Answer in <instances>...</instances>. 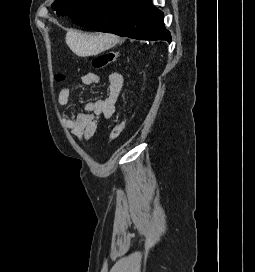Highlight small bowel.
<instances>
[{"label": "small bowel", "instance_id": "c3829d8e", "mask_svg": "<svg viewBox=\"0 0 255 272\" xmlns=\"http://www.w3.org/2000/svg\"><path fill=\"white\" fill-rule=\"evenodd\" d=\"M99 77L95 73H86L81 77V85L97 84ZM124 86V78L120 72H111L108 75V89L105 98L85 103L84 113H70L69 88H63L59 93V103L66 108L68 115L64 123L69 131L80 140H89L96 132L100 120L110 119L117 108L119 97Z\"/></svg>", "mask_w": 255, "mask_h": 272}]
</instances>
